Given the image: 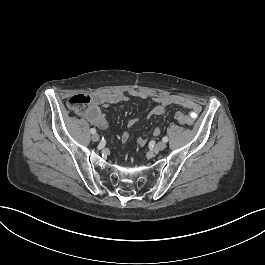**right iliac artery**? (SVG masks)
I'll return each instance as SVG.
<instances>
[{
	"instance_id": "82829eb1",
	"label": "right iliac artery",
	"mask_w": 265,
	"mask_h": 265,
	"mask_svg": "<svg viewBox=\"0 0 265 265\" xmlns=\"http://www.w3.org/2000/svg\"><path fill=\"white\" fill-rule=\"evenodd\" d=\"M90 132H91L92 134H95V133H96V129H95V128H91V129H90Z\"/></svg>"
}]
</instances>
